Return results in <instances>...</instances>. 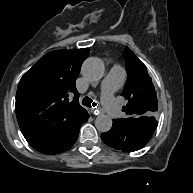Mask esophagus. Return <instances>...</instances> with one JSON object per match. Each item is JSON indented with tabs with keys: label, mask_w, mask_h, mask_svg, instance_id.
<instances>
[{
	"label": "esophagus",
	"mask_w": 193,
	"mask_h": 193,
	"mask_svg": "<svg viewBox=\"0 0 193 193\" xmlns=\"http://www.w3.org/2000/svg\"><path fill=\"white\" fill-rule=\"evenodd\" d=\"M96 108H97V107L92 108V109H91V112H92V114L98 116V115L101 113V111H100L99 109H96Z\"/></svg>",
	"instance_id": "1"
}]
</instances>
